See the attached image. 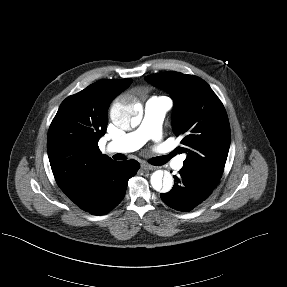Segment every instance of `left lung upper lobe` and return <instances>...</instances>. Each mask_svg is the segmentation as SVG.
I'll return each mask as SVG.
<instances>
[{
  "mask_svg": "<svg viewBox=\"0 0 287 287\" xmlns=\"http://www.w3.org/2000/svg\"><path fill=\"white\" fill-rule=\"evenodd\" d=\"M145 79L174 96L173 131L183 136L179 153L187 154L184 165L217 185L230 147V125L219 98L197 76L172 71Z\"/></svg>",
  "mask_w": 287,
  "mask_h": 287,
  "instance_id": "left-lung-upper-lobe-1",
  "label": "left lung upper lobe"
}]
</instances>
